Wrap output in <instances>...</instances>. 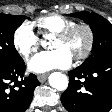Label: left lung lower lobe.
Masks as SVG:
<instances>
[{"mask_svg":"<svg viewBox=\"0 0 112 112\" xmlns=\"http://www.w3.org/2000/svg\"><path fill=\"white\" fill-rule=\"evenodd\" d=\"M61 102L69 112H109L112 108V57L69 71Z\"/></svg>","mask_w":112,"mask_h":112,"instance_id":"left-lung-lower-lobe-1","label":"left lung lower lobe"}]
</instances>
